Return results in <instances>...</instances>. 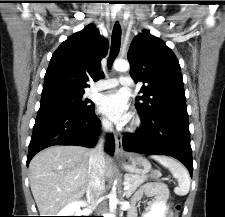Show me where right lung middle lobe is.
Returning a JSON list of instances; mask_svg holds the SVG:
<instances>
[{"label":"right lung middle lobe","mask_w":225,"mask_h":217,"mask_svg":"<svg viewBox=\"0 0 225 217\" xmlns=\"http://www.w3.org/2000/svg\"><path fill=\"white\" fill-rule=\"evenodd\" d=\"M83 92L56 91L42 94L40 108L57 107L85 112L94 108L89 99H83Z\"/></svg>","instance_id":"obj_1"}]
</instances>
